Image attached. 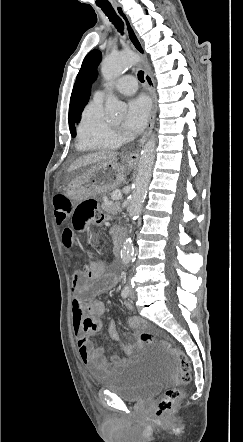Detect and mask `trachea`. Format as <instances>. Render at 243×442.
Returning a JSON list of instances; mask_svg holds the SVG:
<instances>
[{
    "label": "trachea",
    "instance_id": "1",
    "mask_svg": "<svg viewBox=\"0 0 243 442\" xmlns=\"http://www.w3.org/2000/svg\"><path fill=\"white\" fill-rule=\"evenodd\" d=\"M105 15L109 18V20L114 24V26L118 29V31L123 34V22L121 18L116 14L112 6H99ZM138 79L141 83L144 82V72H138Z\"/></svg>",
    "mask_w": 243,
    "mask_h": 442
}]
</instances>
